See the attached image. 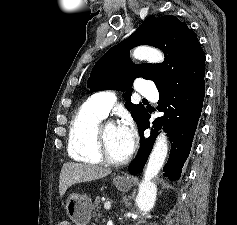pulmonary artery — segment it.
I'll return each instance as SVG.
<instances>
[{
    "label": "pulmonary artery",
    "instance_id": "pulmonary-artery-1",
    "mask_svg": "<svg viewBox=\"0 0 237 225\" xmlns=\"http://www.w3.org/2000/svg\"><path fill=\"white\" fill-rule=\"evenodd\" d=\"M138 92L151 101H156L157 99V89L152 82H144ZM91 99L96 108L106 116L116 102V94L113 91H101L94 94Z\"/></svg>",
    "mask_w": 237,
    "mask_h": 225
}]
</instances>
